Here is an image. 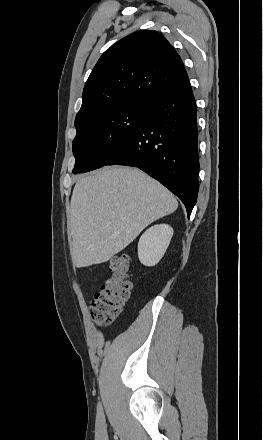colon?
<instances>
[{
    "mask_svg": "<svg viewBox=\"0 0 263 440\" xmlns=\"http://www.w3.org/2000/svg\"><path fill=\"white\" fill-rule=\"evenodd\" d=\"M131 260L118 255L109 261V275L105 276L101 290L94 295L89 307L91 318L100 326L110 325L122 312L131 290Z\"/></svg>",
    "mask_w": 263,
    "mask_h": 440,
    "instance_id": "5ec220e1",
    "label": "colon"
}]
</instances>
